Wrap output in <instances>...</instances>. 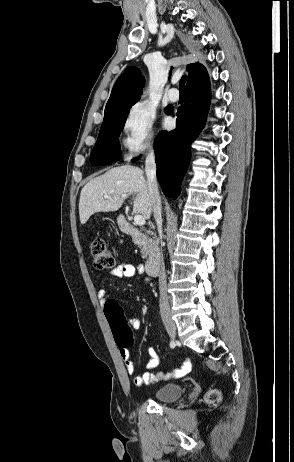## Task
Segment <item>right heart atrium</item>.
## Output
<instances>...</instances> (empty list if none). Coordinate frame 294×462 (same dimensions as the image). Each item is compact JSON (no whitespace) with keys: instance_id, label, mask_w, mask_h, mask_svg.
I'll return each instance as SVG.
<instances>
[{"instance_id":"1","label":"right heart atrium","mask_w":294,"mask_h":462,"mask_svg":"<svg viewBox=\"0 0 294 462\" xmlns=\"http://www.w3.org/2000/svg\"><path fill=\"white\" fill-rule=\"evenodd\" d=\"M121 145L126 160L154 149V117L146 108L134 106L127 112L122 123Z\"/></svg>"}]
</instances>
